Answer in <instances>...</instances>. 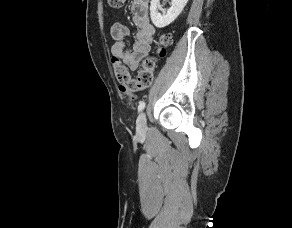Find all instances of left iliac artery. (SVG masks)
Here are the masks:
<instances>
[{
	"mask_svg": "<svg viewBox=\"0 0 292 228\" xmlns=\"http://www.w3.org/2000/svg\"><path fill=\"white\" fill-rule=\"evenodd\" d=\"M145 108V102L141 101L138 105V112L142 111Z\"/></svg>",
	"mask_w": 292,
	"mask_h": 228,
	"instance_id": "1",
	"label": "left iliac artery"
}]
</instances>
